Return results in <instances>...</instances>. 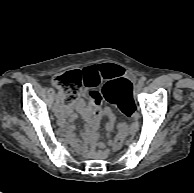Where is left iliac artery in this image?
<instances>
[{
  "mask_svg": "<svg viewBox=\"0 0 194 193\" xmlns=\"http://www.w3.org/2000/svg\"><path fill=\"white\" fill-rule=\"evenodd\" d=\"M144 82H145V78H144V77H142V78L140 79L139 83H140V85H143V84H144Z\"/></svg>",
  "mask_w": 194,
  "mask_h": 193,
  "instance_id": "44dca946",
  "label": "left iliac artery"
}]
</instances>
